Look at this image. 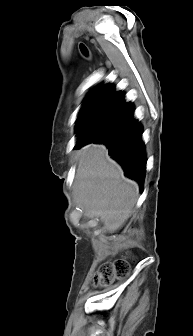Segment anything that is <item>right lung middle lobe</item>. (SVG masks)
<instances>
[{"label":"right lung middle lobe","instance_id":"dd1d6c3e","mask_svg":"<svg viewBox=\"0 0 193 336\" xmlns=\"http://www.w3.org/2000/svg\"><path fill=\"white\" fill-rule=\"evenodd\" d=\"M113 110L108 109L96 119L78 124L77 131L79 132V137L87 140L94 139L103 130Z\"/></svg>","mask_w":193,"mask_h":336}]
</instances>
